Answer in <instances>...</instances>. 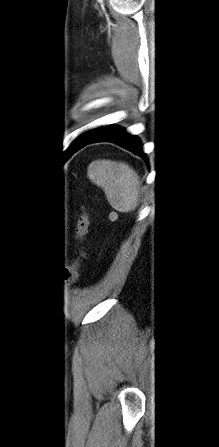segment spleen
<instances>
[{"label": "spleen", "instance_id": "spleen-1", "mask_svg": "<svg viewBox=\"0 0 219 447\" xmlns=\"http://www.w3.org/2000/svg\"><path fill=\"white\" fill-rule=\"evenodd\" d=\"M87 175L103 189L114 209L130 212L138 206L139 177L128 164L105 159L96 160L89 165Z\"/></svg>", "mask_w": 219, "mask_h": 447}]
</instances>
